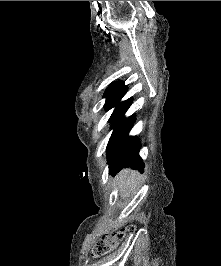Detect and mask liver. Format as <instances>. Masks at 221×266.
<instances>
[{"label":"liver","mask_w":221,"mask_h":266,"mask_svg":"<svg viewBox=\"0 0 221 266\" xmlns=\"http://www.w3.org/2000/svg\"><path fill=\"white\" fill-rule=\"evenodd\" d=\"M139 184L140 174L135 170L124 169L118 175V188L123 199L134 193Z\"/></svg>","instance_id":"liver-1"}]
</instances>
